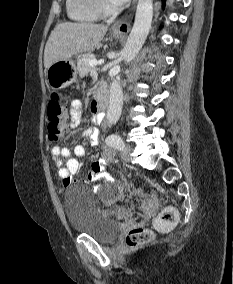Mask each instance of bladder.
<instances>
[{"label":"bladder","instance_id":"1","mask_svg":"<svg viewBox=\"0 0 233 284\" xmlns=\"http://www.w3.org/2000/svg\"><path fill=\"white\" fill-rule=\"evenodd\" d=\"M100 194L104 201L110 202L120 196V191L111 185L103 187ZM64 208L70 228L78 234L109 243L119 233V223L98 206L95 194L86 186L70 187L64 196Z\"/></svg>","mask_w":233,"mask_h":284}]
</instances>
